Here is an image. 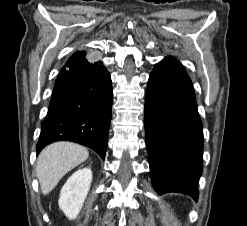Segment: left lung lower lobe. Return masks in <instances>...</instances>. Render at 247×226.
<instances>
[{"label": "left lung lower lobe", "mask_w": 247, "mask_h": 226, "mask_svg": "<svg viewBox=\"0 0 247 226\" xmlns=\"http://www.w3.org/2000/svg\"><path fill=\"white\" fill-rule=\"evenodd\" d=\"M145 100L146 146L157 193L179 192L198 199L203 131L192 82L173 57L157 63Z\"/></svg>", "instance_id": "obj_1"}]
</instances>
